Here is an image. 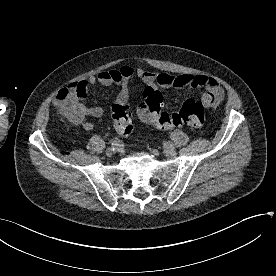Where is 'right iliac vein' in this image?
I'll return each instance as SVG.
<instances>
[{"instance_id":"obj_1","label":"right iliac vein","mask_w":276,"mask_h":276,"mask_svg":"<svg viewBox=\"0 0 276 276\" xmlns=\"http://www.w3.org/2000/svg\"><path fill=\"white\" fill-rule=\"evenodd\" d=\"M117 151H120V148H119V147L112 146V147H110V148H108V149L106 150V153H107L108 155H112V154H114V153L117 152Z\"/></svg>"}]
</instances>
